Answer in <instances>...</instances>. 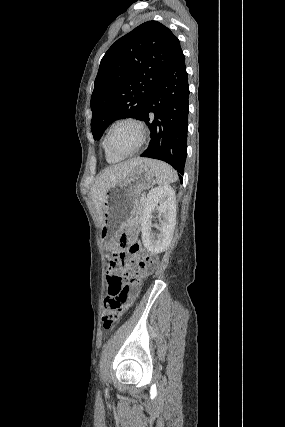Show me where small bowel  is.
<instances>
[{"label": "small bowel", "mask_w": 285, "mask_h": 427, "mask_svg": "<svg viewBox=\"0 0 285 427\" xmlns=\"http://www.w3.org/2000/svg\"><path fill=\"white\" fill-rule=\"evenodd\" d=\"M123 260L126 259V254L124 253L121 257ZM157 264V258H153V265ZM110 273H122V268L119 266V260H111L110 267L107 271V275ZM109 294H111V290L109 289ZM131 305V301H126L118 311V314H123Z\"/></svg>", "instance_id": "c3829d8e"}]
</instances>
